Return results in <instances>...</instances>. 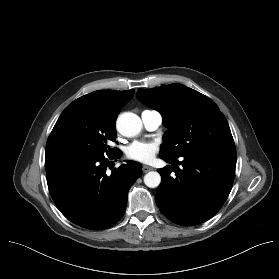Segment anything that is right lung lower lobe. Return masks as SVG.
I'll use <instances>...</instances> for the list:
<instances>
[{"instance_id": "right-lung-lower-lobe-1", "label": "right lung lower lobe", "mask_w": 279, "mask_h": 279, "mask_svg": "<svg viewBox=\"0 0 279 279\" xmlns=\"http://www.w3.org/2000/svg\"><path fill=\"white\" fill-rule=\"evenodd\" d=\"M118 149L108 155L118 159ZM105 156H67L45 161L50 195L62 214L74 224L102 230L116 224L124 215L127 193L142 175V165L129 161L111 174Z\"/></svg>"}]
</instances>
